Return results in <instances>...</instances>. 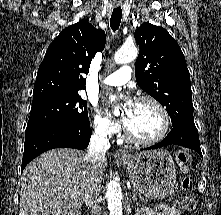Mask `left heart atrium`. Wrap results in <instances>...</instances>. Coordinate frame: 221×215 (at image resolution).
Returning <instances> with one entry per match:
<instances>
[{"label":"left heart atrium","mask_w":221,"mask_h":215,"mask_svg":"<svg viewBox=\"0 0 221 215\" xmlns=\"http://www.w3.org/2000/svg\"><path fill=\"white\" fill-rule=\"evenodd\" d=\"M117 99H118L117 96H111V97H109L107 103L111 104L112 102H115ZM134 107H135V103L132 100H130V99L125 100L123 113L121 116V121L124 125H126L128 123Z\"/></svg>","instance_id":"obj_1"}]
</instances>
